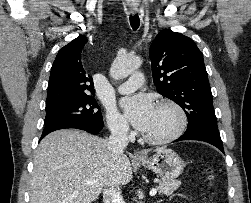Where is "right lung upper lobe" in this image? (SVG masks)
<instances>
[{
	"label": "right lung upper lobe",
	"mask_w": 251,
	"mask_h": 203,
	"mask_svg": "<svg viewBox=\"0 0 251 203\" xmlns=\"http://www.w3.org/2000/svg\"><path fill=\"white\" fill-rule=\"evenodd\" d=\"M87 38L80 35L59 50L52 65L46 107L93 97L92 77L86 73L81 52Z\"/></svg>",
	"instance_id": "1"
}]
</instances>
